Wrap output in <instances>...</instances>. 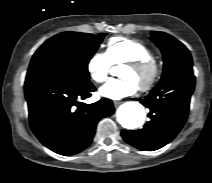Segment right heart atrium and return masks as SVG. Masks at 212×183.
Here are the masks:
<instances>
[{
    "label": "right heart atrium",
    "instance_id": "1",
    "mask_svg": "<svg viewBox=\"0 0 212 183\" xmlns=\"http://www.w3.org/2000/svg\"><path fill=\"white\" fill-rule=\"evenodd\" d=\"M113 64L104 52H97L87 62V72L96 83H103L109 78Z\"/></svg>",
    "mask_w": 212,
    "mask_h": 183
}]
</instances>
